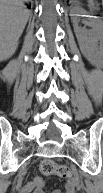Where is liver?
<instances>
[{"label": "liver", "mask_w": 103, "mask_h": 193, "mask_svg": "<svg viewBox=\"0 0 103 193\" xmlns=\"http://www.w3.org/2000/svg\"><path fill=\"white\" fill-rule=\"evenodd\" d=\"M1 60L10 58L18 47V40L29 18L23 0H1Z\"/></svg>", "instance_id": "6515ba94"}]
</instances>
